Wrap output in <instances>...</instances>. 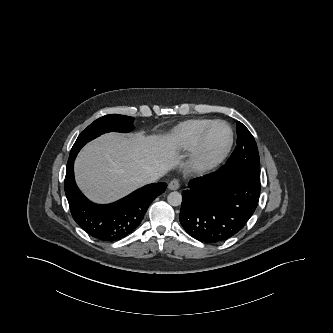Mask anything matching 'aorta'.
<instances>
[{
  "label": "aorta",
  "instance_id": "1",
  "mask_svg": "<svg viewBox=\"0 0 333 333\" xmlns=\"http://www.w3.org/2000/svg\"><path fill=\"white\" fill-rule=\"evenodd\" d=\"M167 201L172 206H179L182 202V195L177 191L171 192L167 197Z\"/></svg>",
  "mask_w": 333,
  "mask_h": 333
}]
</instances>
